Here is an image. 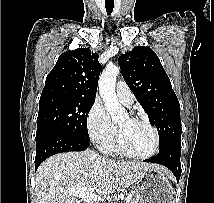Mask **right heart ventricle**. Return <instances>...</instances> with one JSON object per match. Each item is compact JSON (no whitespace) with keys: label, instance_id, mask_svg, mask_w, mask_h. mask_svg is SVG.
I'll list each match as a JSON object with an SVG mask.
<instances>
[{"label":"right heart ventricle","instance_id":"e07e8e85","mask_svg":"<svg viewBox=\"0 0 214 203\" xmlns=\"http://www.w3.org/2000/svg\"><path fill=\"white\" fill-rule=\"evenodd\" d=\"M103 149H104L106 152H109V153H116L118 150H117V147H116L115 138H114L110 143H108L107 145H105V146L103 147Z\"/></svg>","mask_w":214,"mask_h":203}]
</instances>
